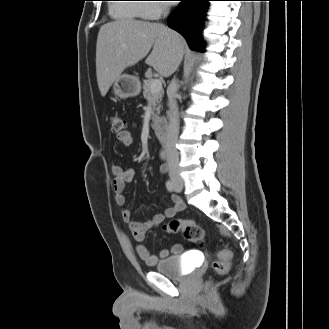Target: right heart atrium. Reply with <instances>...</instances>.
<instances>
[{
	"label": "right heart atrium",
	"mask_w": 329,
	"mask_h": 329,
	"mask_svg": "<svg viewBox=\"0 0 329 329\" xmlns=\"http://www.w3.org/2000/svg\"><path fill=\"white\" fill-rule=\"evenodd\" d=\"M148 2H158L154 4H147L145 8V18L157 19L168 10L165 0H149Z\"/></svg>",
	"instance_id": "right-heart-atrium-1"
}]
</instances>
